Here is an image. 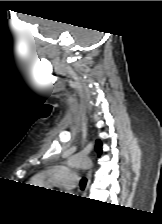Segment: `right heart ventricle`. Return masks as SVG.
Listing matches in <instances>:
<instances>
[{
    "label": "right heart ventricle",
    "instance_id": "e07e8e85",
    "mask_svg": "<svg viewBox=\"0 0 162 224\" xmlns=\"http://www.w3.org/2000/svg\"><path fill=\"white\" fill-rule=\"evenodd\" d=\"M32 183H34L35 185H41L42 184V180L40 178H35L32 180Z\"/></svg>",
    "mask_w": 162,
    "mask_h": 224
}]
</instances>
